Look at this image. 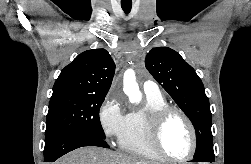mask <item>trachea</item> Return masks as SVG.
<instances>
[{"label": "trachea", "instance_id": "obj_1", "mask_svg": "<svg viewBox=\"0 0 251 164\" xmlns=\"http://www.w3.org/2000/svg\"><path fill=\"white\" fill-rule=\"evenodd\" d=\"M121 7L123 9V11L128 14L131 11L132 8V2H128V3H122L121 2Z\"/></svg>", "mask_w": 251, "mask_h": 164}]
</instances>
